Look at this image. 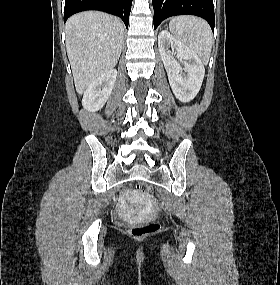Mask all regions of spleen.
I'll return each instance as SVG.
<instances>
[{"mask_svg":"<svg viewBox=\"0 0 280 285\" xmlns=\"http://www.w3.org/2000/svg\"><path fill=\"white\" fill-rule=\"evenodd\" d=\"M173 36L193 50L204 64L211 54L213 36L206 21L194 16L174 17L169 23Z\"/></svg>","mask_w":280,"mask_h":285,"instance_id":"obj_1","label":"spleen"}]
</instances>
